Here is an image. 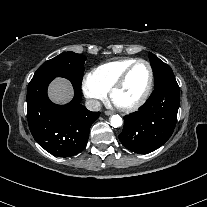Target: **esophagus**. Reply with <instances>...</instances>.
<instances>
[{"mask_svg":"<svg viewBox=\"0 0 207 207\" xmlns=\"http://www.w3.org/2000/svg\"><path fill=\"white\" fill-rule=\"evenodd\" d=\"M113 114V112H111V111H105V115H112Z\"/></svg>","mask_w":207,"mask_h":207,"instance_id":"34e87169","label":"esophagus"}]
</instances>
